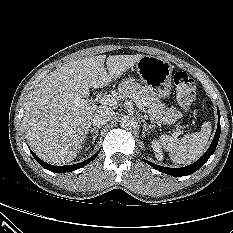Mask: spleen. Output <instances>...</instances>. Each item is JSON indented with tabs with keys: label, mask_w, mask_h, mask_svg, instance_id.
<instances>
[{
	"label": "spleen",
	"mask_w": 233,
	"mask_h": 233,
	"mask_svg": "<svg viewBox=\"0 0 233 233\" xmlns=\"http://www.w3.org/2000/svg\"><path fill=\"white\" fill-rule=\"evenodd\" d=\"M211 123L204 122L200 132L185 135L181 140L176 141L169 135H162L159 138L161 146L169 152L171 160L177 164H188L200 157L204 152L210 135Z\"/></svg>",
	"instance_id": "obj_1"
}]
</instances>
